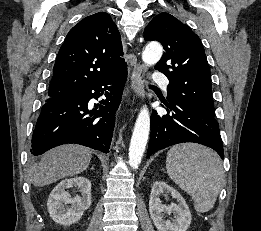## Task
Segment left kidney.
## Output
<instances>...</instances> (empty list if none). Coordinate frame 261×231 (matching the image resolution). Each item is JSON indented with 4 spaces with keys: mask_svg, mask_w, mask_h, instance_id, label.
I'll return each mask as SVG.
<instances>
[{
    "mask_svg": "<svg viewBox=\"0 0 261 231\" xmlns=\"http://www.w3.org/2000/svg\"><path fill=\"white\" fill-rule=\"evenodd\" d=\"M160 193L171 194L177 203H171L169 206L162 204L159 198ZM149 213L159 231H186L191 223V212L185 200L179 192L163 181H157L152 186ZM165 214H173L174 219L165 220Z\"/></svg>",
    "mask_w": 261,
    "mask_h": 231,
    "instance_id": "1",
    "label": "left kidney"
}]
</instances>
